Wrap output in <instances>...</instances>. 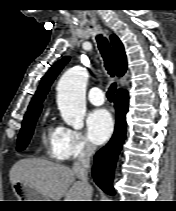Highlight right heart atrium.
<instances>
[{
  "label": "right heart atrium",
  "instance_id": "d8ad5b80",
  "mask_svg": "<svg viewBox=\"0 0 176 211\" xmlns=\"http://www.w3.org/2000/svg\"><path fill=\"white\" fill-rule=\"evenodd\" d=\"M55 150L61 160H74L90 155L94 146L82 132L69 127H60Z\"/></svg>",
  "mask_w": 176,
  "mask_h": 211
}]
</instances>
